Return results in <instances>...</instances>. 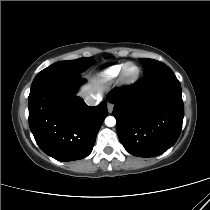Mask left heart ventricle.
Wrapping results in <instances>:
<instances>
[{
	"label": "left heart ventricle",
	"instance_id": "obj_1",
	"mask_svg": "<svg viewBox=\"0 0 210 210\" xmlns=\"http://www.w3.org/2000/svg\"><path fill=\"white\" fill-rule=\"evenodd\" d=\"M136 72V68L134 66L129 67L128 74L133 75Z\"/></svg>",
	"mask_w": 210,
	"mask_h": 210
}]
</instances>
